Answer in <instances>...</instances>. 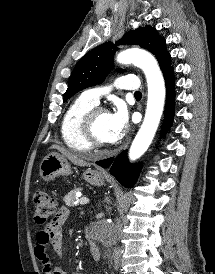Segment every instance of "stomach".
<instances>
[{"mask_svg":"<svg viewBox=\"0 0 215 274\" xmlns=\"http://www.w3.org/2000/svg\"><path fill=\"white\" fill-rule=\"evenodd\" d=\"M69 174H71V165L67 158L59 153H49L40 164V176L47 182L54 180L60 175L67 176ZM83 178L95 186H102L107 180L106 175L91 169L84 171Z\"/></svg>","mask_w":215,"mask_h":274,"instance_id":"1","label":"stomach"}]
</instances>
